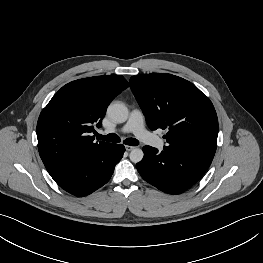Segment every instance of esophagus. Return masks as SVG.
Returning <instances> with one entry per match:
<instances>
[{"instance_id": "esophagus-1", "label": "esophagus", "mask_w": 263, "mask_h": 263, "mask_svg": "<svg viewBox=\"0 0 263 263\" xmlns=\"http://www.w3.org/2000/svg\"><path fill=\"white\" fill-rule=\"evenodd\" d=\"M134 148H135V147L129 146V145H126V146H125L126 151H131V150H133Z\"/></svg>"}]
</instances>
